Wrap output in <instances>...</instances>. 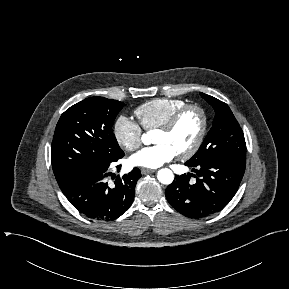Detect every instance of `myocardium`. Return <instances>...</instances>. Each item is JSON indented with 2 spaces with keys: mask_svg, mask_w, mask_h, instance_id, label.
<instances>
[{
  "mask_svg": "<svg viewBox=\"0 0 289 289\" xmlns=\"http://www.w3.org/2000/svg\"><path fill=\"white\" fill-rule=\"evenodd\" d=\"M189 111H196L199 114L201 118V125L193 144L185 151L177 154L181 159H188L192 157L201 147L208 128V116L206 111L200 105L186 104L175 111L164 124L157 128L158 131L166 133L173 131L180 119Z\"/></svg>",
  "mask_w": 289,
  "mask_h": 289,
  "instance_id": "1",
  "label": "myocardium"
}]
</instances>
